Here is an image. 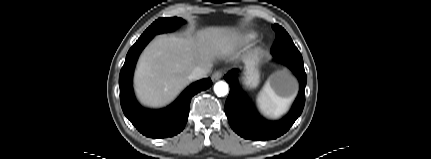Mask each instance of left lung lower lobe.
Returning <instances> with one entry per match:
<instances>
[{"instance_id": "0a47b994", "label": "left lung lower lobe", "mask_w": 431, "mask_h": 159, "mask_svg": "<svg viewBox=\"0 0 431 159\" xmlns=\"http://www.w3.org/2000/svg\"><path fill=\"white\" fill-rule=\"evenodd\" d=\"M274 59L289 67L300 83L299 94L291 111L280 121H266L255 113L246 94L237 85V69L231 70L224 76L230 85V93L225 103L226 115L231 128L245 139L254 141L276 139L290 129L303 111L307 77L302 56L277 55Z\"/></svg>"}]
</instances>
